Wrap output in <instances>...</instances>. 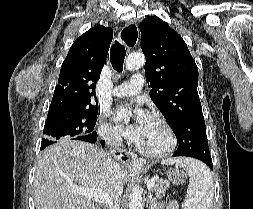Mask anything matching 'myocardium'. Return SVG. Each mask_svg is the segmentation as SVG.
Returning <instances> with one entry per match:
<instances>
[{"mask_svg":"<svg viewBox=\"0 0 253 209\" xmlns=\"http://www.w3.org/2000/svg\"><path fill=\"white\" fill-rule=\"evenodd\" d=\"M152 118L154 120H156L158 123H160L163 126V128L165 129V131L167 133V138H168L167 146L159 151L147 150V149L143 148L141 145H139L138 143L135 145V147L140 154H142L148 158L160 159V158H163V157L169 155L175 149L176 135H175V132H174L172 126L164 117H162L158 114H154L152 116Z\"/></svg>","mask_w":253,"mask_h":209,"instance_id":"f54148a6","label":"myocardium"}]
</instances>
